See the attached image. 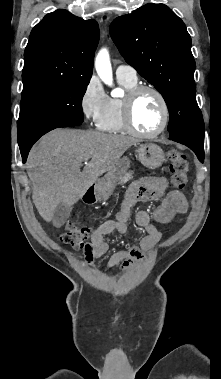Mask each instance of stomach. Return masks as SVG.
Wrapping results in <instances>:
<instances>
[{"instance_id": "0dacf381", "label": "stomach", "mask_w": 221, "mask_h": 379, "mask_svg": "<svg viewBox=\"0 0 221 379\" xmlns=\"http://www.w3.org/2000/svg\"><path fill=\"white\" fill-rule=\"evenodd\" d=\"M138 160L147 168L156 169L165 160V154L160 146L155 143L141 144L137 150ZM130 167L128 158H121L107 174L97 181L94 193L97 199L108 198L114 191L116 182L126 173Z\"/></svg>"}]
</instances>
